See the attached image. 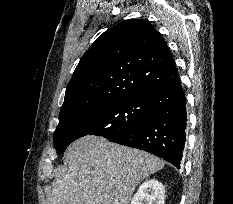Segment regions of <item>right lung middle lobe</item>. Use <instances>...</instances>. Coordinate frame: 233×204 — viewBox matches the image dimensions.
Listing matches in <instances>:
<instances>
[{
	"label": "right lung middle lobe",
	"mask_w": 233,
	"mask_h": 204,
	"mask_svg": "<svg viewBox=\"0 0 233 204\" xmlns=\"http://www.w3.org/2000/svg\"><path fill=\"white\" fill-rule=\"evenodd\" d=\"M149 104V95L136 96L107 103L71 118L54 132L57 153L61 154L74 140L86 135L112 139L131 131L151 118Z\"/></svg>",
	"instance_id": "obj_1"
}]
</instances>
